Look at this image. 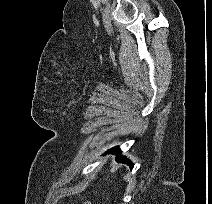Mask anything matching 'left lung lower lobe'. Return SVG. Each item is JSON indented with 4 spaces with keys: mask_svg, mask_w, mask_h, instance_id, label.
<instances>
[{
    "mask_svg": "<svg viewBox=\"0 0 212 204\" xmlns=\"http://www.w3.org/2000/svg\"><path fill=\"white\" fill-rule=\"evenodd\" d=\"M108 152L116 154L117 156H119V154H121V151L119 150L118 147L112 148V149L108 150ZM118 162L126 163V164H128L130 166L131 169L133 168V164L128 159H126L124 157H119Z\"/></svg>",
    "mask_w": 212,
    "mask_h": 204,
    "instance_id": "left-lung-lower-lobe-1",
    "label": "left lung lower lobe"
}]
</instances>
